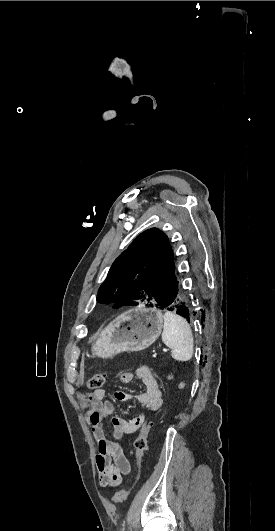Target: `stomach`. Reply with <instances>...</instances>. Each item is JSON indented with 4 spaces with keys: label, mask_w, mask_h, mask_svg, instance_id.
<instances>
[{
    "label": "stomach",
    "mask_w": 275,
    "mask_h": 531,
    "mask_svg": "<svg viewBox=\"0 0 275 531\" xmlns=\"http://www.w3.org/2000/svg\"><path fill=\"white\" fill-rule=\"evenodd\" d=\"M163 321L158 309H130L103 329L91 347L92 355L112 359L124 351H143L160 337Z\"/></svg>",
    "instance_id": "stomach-1"
}]
</instances>
